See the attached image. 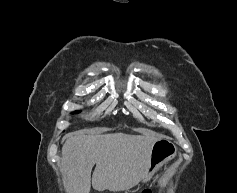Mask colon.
Instances as JSON below:
<instances>
[{"mask_svg": "<svg viewBox=\"0 0 237 193\" xmlns=\"http://www.w3.org/2000/svg\"><path fill=\"white\" fill-rule=\"evenodd\" d=\"M141 193H152V189L151 188H145L141 191Z\"/></svg>", "mask_w": 237, "mask_h": 193, "instance_id": "5ec220e1", "label": "colon"}]
</instances>
